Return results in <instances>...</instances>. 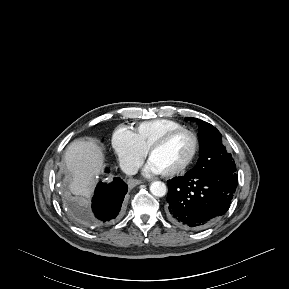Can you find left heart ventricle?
Returning <instances> with one entry per match:
<instances>
[{"label": "left heart ventricle", "instance_id": "1", "mask_svg": "<svg viewBox=\"0 0 289 289\" xmlns=\"http://www.w3.org/2000/svg\"><path fill=\"white\" fill-rule=\"evenodd\" d=\"M192 150V137L188 134H181L153 153L149 161L160 173L169 172L181 166L189 158Z\"/></svg>", "mask_w": 289, "mask_h": 289}]
</instances>
